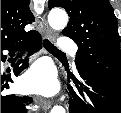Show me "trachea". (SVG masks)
<instances>
[{
    "instance_id": "3493384b",
    "label": "trachea",
    "mask_w": 121,
    "mask_h": 113,
    "mask_svg": "<svg viewBox=\"0 0 121 113\" xmlns=\"http://www.w3.org/2000/svg\"><path fill=\"white\" fill-rule=\"evenodd\" d=\"M44 47L50 52V53H57V54H64L61 50H59L57 47H55L49 40L45 39L43 43Z\"/></svg>"
}]
</instances>
